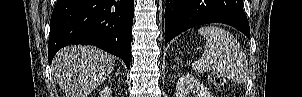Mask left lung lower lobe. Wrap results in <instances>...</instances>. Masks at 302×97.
<instances>
[{"mask_svg": "<svg viewBox=\"0 0 302 97\" xmlns=\"http://www.w3.org/2000/svg\"><path fill=\"white\" fill-rule=\"evenodd\" d=\"M165 41L189 28L205 23H224L240 30L250 39L243 0H166Z\"/></svg>", "mask_w": 302, "mask_h": 97, "instance_id": "1", "label": "left lung lower lobe"}]
</instances>
